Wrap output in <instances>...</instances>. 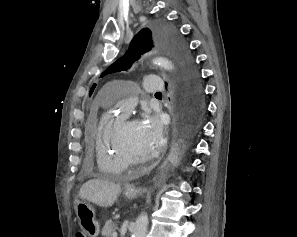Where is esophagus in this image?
Masks as SVG:
<instances>
[{
    "label": "esophagus",
    "mask_w": 297,
    "mask_h": 237,
    "mask_svg": "<svg viewBox=\"0 0 297 237\" xmlns=\"http://www.w3.org/2000/svg\"><path fill=\"white\" fill-rule=\"evenodd\" d=\"M127 189L130 190V191H135L136 190V188H135V186L133 184L128 185Z\"/></svg>",
    "instance_id": "esophagus-1"
}]
</instances>
